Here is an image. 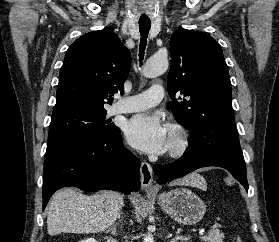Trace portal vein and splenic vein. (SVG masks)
Instances as JSON below:
<instances>
[{"mask_svg": "<svg viewBox=\"0 0 279 242\" xmlns=\"http://www.w3.org/2000/svg\"><path fill=\"white\" fill-rule=\"evenodd\" d=\"M204 233H205V229H200V230H199V235H200V236L204 235Z\"/></svg>", "mask_w": 279, "mask_h": 242, "instance_id": "1", "label": "portal vein and splenic vein"}]
</instances>
